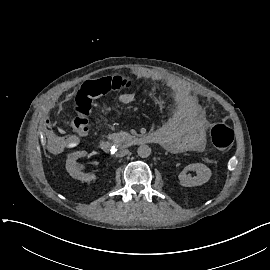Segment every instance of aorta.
Listing matches in <instances>:
<instances>
[{
    "label": "aorta",
    "mask_w": 270,
    "mask_h": 270,
    "mask_svg": "<svg viewBox=\"0 0 270 270\" xmlns=\"http://www.w3.org/2000/svg\"><path fill=\"white\" fill-rule=\"evenodd\" d=\"M138 156L141 158H147L151 154V148L147 145H141L137 150Z\"/></svg>",
    "instance_id": "aorta-1"
}]
</instances>
